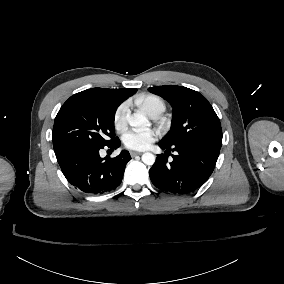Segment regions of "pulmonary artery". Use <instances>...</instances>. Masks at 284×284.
I'll use <instances>...</instances> for the list:
<instances>
[{
    "label": "pulmonary artery",
    "instance_id": "1",
    "mask_svg": "<svg viewBox=\"0 0 284 284\" xmlns=\"http://www.w3.org/2000/svg\"><path fill=\"white\" fill-rule=\"evenodd\" d=\"M152 117H153V118H157V117H158V115H152Z\"/></svg>",
    "mask_w": 284,
    "mask_h": 284
}]
</instances>
